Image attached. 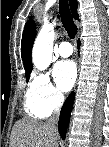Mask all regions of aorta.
<instances>
[{
  "instance_id": "aorta-1",
  "label": "aorta",
  "mask_w": 109,
  "mask_h": 147,
  "mask_svg": "<svg viewBox=\"0 0 109 147\" xmlns=\"http://www.w3.org/2000/svg\"><path fill=\"white\" fill-rule=\"evenodd\" d=\"M54 35L53 26L45 23L35 39L32 50V62L39 70H46L51 63Z\"/></svg>"
}]
</instances>
